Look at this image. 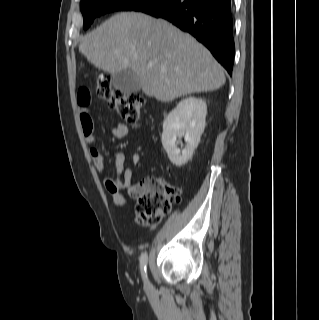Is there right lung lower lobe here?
Listing matches in <instances>:
<instances>
[{"mask_svg": "<svg viewBox=\"0 0 319 320\" xmlns=\"http://www.w3.org/2000/svg\"><path fill=\"white\" fill-rule=\"evenodd\" d=\"M136 11L166 19L189 32L232 74L234 39L231 0H156Z\"/></svg>", "mask_w": 319, "mask_h": 320, "instance_id": "right-lung-lower-lobe-1", "label": "right lung lower lobe"}]
</instances>
